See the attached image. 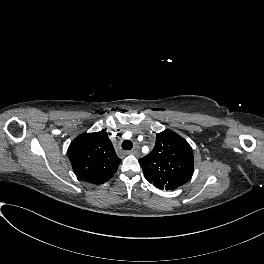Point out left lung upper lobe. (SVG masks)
<instances>
[{"label":"left lung upper lobe","instance_id":"1","mask_svg":"<svg viewBox=\"0 0 264 264\" xmlns=\"http://www.w3.org/2000/svg\"><path fill=\"white\" fill-rule=\"evenodd\" d=\"M139 163L146 180L164 190L182 186L190 180L194 171L191 146L171 130L157 134L154 149L139 159Z\"/></svg>","mask_w":264,"mask_h":264}]
</instances>
